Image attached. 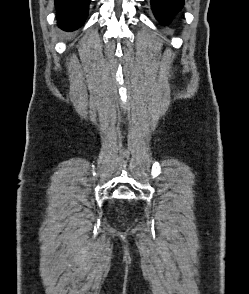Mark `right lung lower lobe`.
Wrapping results in <instances>:
<instances>
[{"label":"right lung lower lobe","instance_id":"1","mask_svg":"<svg viewBox=\"0 0 249 294\" xmlns=\"http://www.w3.org/2000/svg\"><path fill=\"white\" fill-rule=\"evenodd\" d=\"M90 0H55L58 26L66 31L78 29L85 21Z\"/></svg>","mask_w":249,"mask_h":294}]
</instances>
